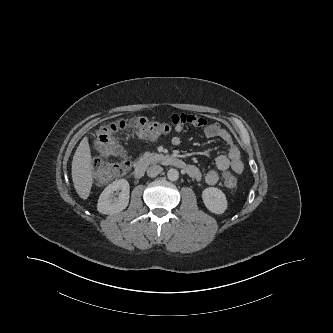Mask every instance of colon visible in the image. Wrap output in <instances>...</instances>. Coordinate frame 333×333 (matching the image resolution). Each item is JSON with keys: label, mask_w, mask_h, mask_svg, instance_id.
I'll return each instance as SVG.
<instances>
[{"label": "colon", "mask_w": 333, "mask_h": 333, "mask_svg": "<svg viewBox=\"0 0 333 333\" xmlns=\"http://www.w3.org/2000/svg\"><path fill=\"white\" fill-rule=\"evenodd\" d=\"M170 130L167 123L157 122L145 117H135L127 120H120L102 126L97 131L95 145L98 152L105 157H117L119 162L95 161L93 169L98 182L104 183L123 175L129 168L131 162L124 155L122 147L116 141V135L121 132L130 131L139 137L156 139ZM224 185L232 190L237 186L236 177L230 173H225Z\"/></svg>", "instance_id": "1"}]
</instances>
